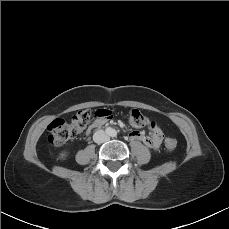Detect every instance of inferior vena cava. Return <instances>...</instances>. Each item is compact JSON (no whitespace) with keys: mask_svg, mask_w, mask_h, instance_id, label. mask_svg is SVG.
<instances>
[{"mask_svg":"<svg viewBox=\"0 0 229 229\" xmlns=\"http://www.w3.org/2000/svg\"><path fill=\"white\" fill-rule=\"evenodd\" d=\"M109 139L108 135L103 130H98L93 135V140L95 143L101 144Z\"/></svg>","mask_w":229,"mask_h":229,"instance_id":"inferior-vena-cava-1","label":"inferior vena cava"}]
</instances>
